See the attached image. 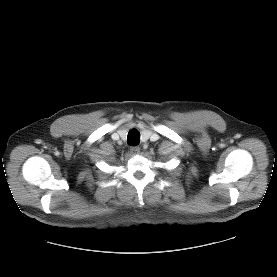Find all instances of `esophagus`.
Masks as SVG:
<instances>
[{
    "instance_id": "obj_1",
    "label": "esophagus",
    "mask_w": 277,
    "mask_h": 277,
    "mask_svg": "<svg viewBox=\"0 0 277 277\" xmlns=\"http://www.w3.org/2000/svg\"><path fill=\"white\" fill-rule=\"evenodd\" d=\"M130 150H131L132 154L136 155V154H138L140 152V147L139 146H132L130 148Z\"/></svg>"
}]
</instances>
